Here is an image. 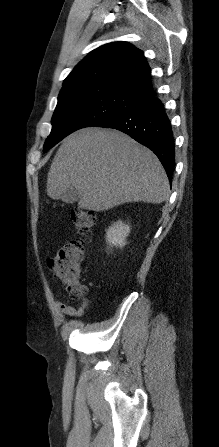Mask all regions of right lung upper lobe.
Listing matches in <instances>:
<instances>
[{"instance_id":"right-lung-upper-lobe-1","label":"right lung upper lobe","mask_w":219,"mask_h":447,"mask_svg":"<svg viewBox=\"0 0 219 447\" xmlns=\"http://www.w3.org/2000/svg\"><path fill=\"white\" fill-rule=\"evenodd\" d=\"M80 85L114 87L140 101L154 96L143 52L127 42L105 44L90 52L64 80L62 89Z\"/></svg>"}]
</instances>
